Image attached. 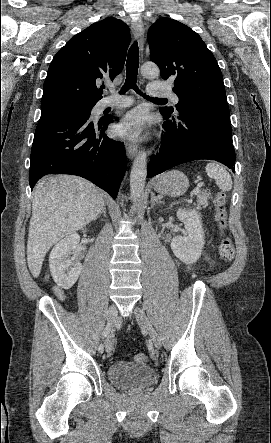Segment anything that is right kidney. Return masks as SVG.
Returning a JSON list of instances; mask_svg holds the SVG:
<instances>
[{"label": "right kidney", "mask_w": 271, "mask_h": 443, "mask_svg": "<svg viewBox=\"0 0 271 443\" xmlns=\"http://www.w3.org/2000/svg\"><path fill=\"white\" fill-rule=\"evenodd\" d=\"M79 241V233H70V235L60 239L50 251L49 267L51 275L54 281L64 289L72 287L81 273L82 265L80 261H75L76 255H71V253H77Z\"/></svg>", "instance_id": "obj_1"}]
</instances>
